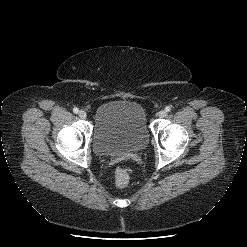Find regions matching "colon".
<instances>
[{"label": "colon", "mask_w": 247, "mask_h": 247, "mask_svg": "<svg viewBox=\"0 0 247 247\" xmlns=\"http://www.w3.org/2000/svg\"><path fill=\"white\" fill-rule=\"evenodd\" d=\"M114 182L118 188H125L129 183V174L127 170L123 168H118L115 171Z\"/></svg>", "instance_id": "1"}]
</instances>
